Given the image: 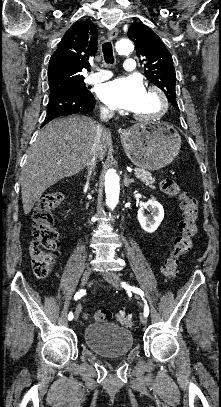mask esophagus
Wrapping results in <instances>:
<instances>
[{
    "instance_id": "1",
    "label": "esophagus",
    "mask_w": 221,
    "mask_h": 407,
    "mask_svg": "<svg viewBox=\"0 0 221 407\" xmlns=\"http://www.w3.org/2000/svg\"><path fill=\"white\" fill-rule=\"evenodd\" d=\"M117 35H118V29L116 27L108 30V32H107V37L109 40L114 39Z\"/></svg>"
}]
</instances>
